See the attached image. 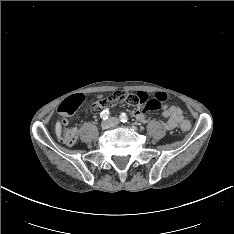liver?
<instances>
[{
  "mask_svg": "<svg viewBox=\"0 0 234 234\" xmlns=\"http://www.w3.org/2000/svg\"><path fill=\"white\" fill-rule=\"evenodd\" d=\"M61 130H62L61 123L58 121L55 126V131L58 138L61 137Z\"/></svg>",
  "mask_w": 234,
  "mask_h": 234,
  "instance_id": "liver-1",
  "label": "liver"
}]
</instances>
